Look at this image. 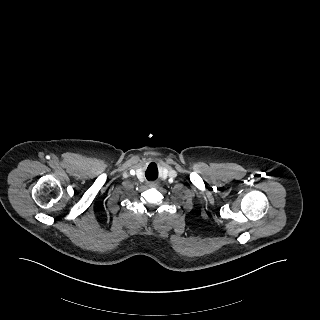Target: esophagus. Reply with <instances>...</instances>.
Masks as SVG:
<instances>
[{
  "mask_svg": "<svg viewBox=\"0 0 320 320\" xmlns=\"http://www.w3.org/2000/svg\"><path fill=\"white\" fill-rule=\"evenodd\" d=\"M150 185H151V186H154V185H155V183H150Z\"/></svg>",
  "mask_w": 320,
  "mask_h": 320,
  "instance_id": "34e87169",
  "label": "esophagus"
}]
</instances>
